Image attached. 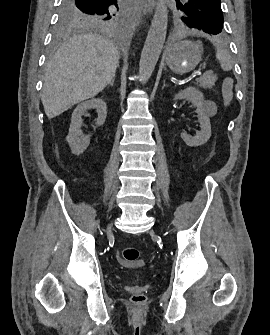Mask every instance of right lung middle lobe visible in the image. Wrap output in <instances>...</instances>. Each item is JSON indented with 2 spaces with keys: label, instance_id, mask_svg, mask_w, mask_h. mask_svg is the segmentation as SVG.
Returning <instances> with one entry per match:
<instances>
[{
  "label": "right lung middle lobe",
  "instance_id": "obj_1",
  "mask_svg": "<svg viewBox=\"0 0 270 335\" xmlns=\"http://www.w3.org/2000/svg\"><path fill=\"white\" fill-rule=\"evenodd\" d=\"M125 3L118 0H62L55 38L83 29H112L122 24Z\"/></svg>",
  "mask_w": 270,
  "mask_h": 335
}]
</instances>
